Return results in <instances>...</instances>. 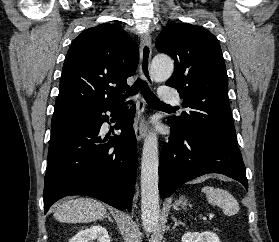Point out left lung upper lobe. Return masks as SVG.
I'll return each instance as SVG.
<instances>
[{"mask_svg":"<svg viewBox=\"0 0 279 242\" xmlns=\"http://www.w3.org/2000/svg\"><path fill=\"white\" fill-rule=\"evenodd\" d=\"M156 48L174 59L175 70L166 85L177 88L183 106L191 109L168 122L192 138L210 135L236 144L228 77L217 38L202 27L175 23L161 31Z\"/></svg>","mask_w":279,"mask_h":242,"instance_id":"5c2ea615","label":"left lung upper lobe"}]
</instances>
